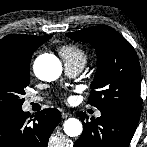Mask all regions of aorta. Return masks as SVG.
Instances as JSON below:
<instances>
[{
	"instance_id": "obj_1",
	"label": "aorta",
	"mask_w": 147,
	"mask_h": 147,
	"mask_svg": "<svg viewBox=\"0 0 147 147\" xmlns=\"http://www.w3.org/2000/svg\"><path fill=\"white\" fill-rule=\"evenodd\" d=\"M35 75L47 82L55 81L62 73V64L53 54H42L38 56L33 65ZM64 132L70 137L81 135L82 123L76 118H69L64 122Z\"/></svg>"
}]
</instances>
